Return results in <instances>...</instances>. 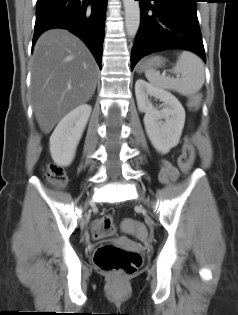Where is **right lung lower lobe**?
I'll use <instances>...</instances> for the list:
<instances>
[{
	"mask_svg": "<svg viewBox=\"0 0 238 315\" xmlns=\"http://www.w3.org/2000/svg\"><path fill=\"white\" fill-rule=\"evenodd\" d=\"M107 0H37L32 47L44 31L65 28L81 38L101 68Z\"/></svg>",
	"mask_w": 238,
	"mask_h": 315,
	"instance_id": "98d812e1",
	"label": "right lung lower lobe"
}]
</instances>
